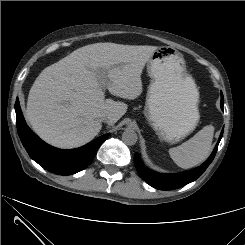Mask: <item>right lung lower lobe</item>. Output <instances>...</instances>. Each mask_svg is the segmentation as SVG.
Masks as SVG:
<instances>
[{"label": "right lung lower lobe", "mask_w": 245, "mask_h": 245, "mask_svg": "<svg viewBox=\"0 0 245 245\" xmlns=\"http://www.w3.org/2000/svg\"><path fill=\"white\" fill-rule=\"evenodd\" d=\"M18 134L29 156L46 170L59 175H71L85 169L95 157L109 134L100 136L83 147L62 150L42 141L26 124L19 100L15 103Z\"/></svg>", "instance_id": "1"}]
</instances>
